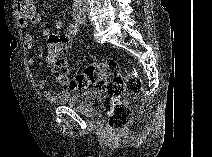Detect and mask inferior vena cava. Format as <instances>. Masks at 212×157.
Returning <instances> with one entry per match:
<instances>
[{"mask_svg": "<svg viewBox=\"0 0 212 157\" xmlns=\"http://www.w3.org/2000/svg\"><path fill=\"white\" fill-rule=\"evenodd\" d=\"M85 0H74V9L75 10H80V11H85L86 9V4H85Z\"/></svg>", "mask_w": 212, "mask_h": 157, "instance_id": "602c4592", "label": "inferior vena cava"}]
</instances>
